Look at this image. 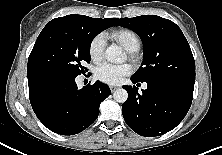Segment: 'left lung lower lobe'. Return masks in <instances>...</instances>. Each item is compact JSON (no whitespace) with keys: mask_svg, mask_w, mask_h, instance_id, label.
Listing matches in <instances>:
<instances>
[{"mask_svg":"<svg viewBox=\"0 0 222 155\" xmlns=\"http://www.w3.org/2000/svg\"><path fill=\"white\" fill-rule=\"evenodd\" d=\"M131 80L140 82L133 77ZM147 86L142 94L136 86H123L128 99L122 105V114L126 124L137 134L160 136L174 129L186 116L194 88L162 80L147 82Z\"/></svg>","mask_w":222,"mask_h":155,"instance_id":"0a47b994","label":"left lung lower lobe"}]
</instances>
